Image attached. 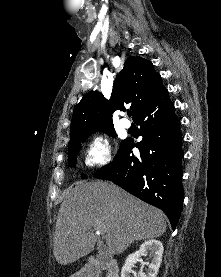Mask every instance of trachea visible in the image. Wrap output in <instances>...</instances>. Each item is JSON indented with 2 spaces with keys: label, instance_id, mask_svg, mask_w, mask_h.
<instances>
[{
  "label": "trachea",
  "instance_id": "3493384b",
  "mask_svg": "<svg viewBox=\"0 0 221 277\" xmlns=\"http://www.w3.org/2000/svg\"><path fill=\"white\" fill-rule=\"evenodd\" d=\"M127 115L130 117L132 115V112L130 110L127 111Z\"/></svg>",
  "mask_w": 221,
  "mask_h": 277
}]
</instances>
